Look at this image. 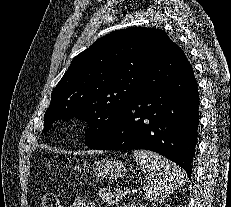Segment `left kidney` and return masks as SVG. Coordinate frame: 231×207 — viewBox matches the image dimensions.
I'll use <instances>...</instances> for the list:
<instances>
[{
  "label": "left kidney",
  "instance_id": "5707ae66",
  "mask_svg": "<svg viewBox=\"0 0 231 207\" xmlns=\"http://www.w3.org/2000/svg\"><path fill=\"white\" fill-rule=\"evenodd\" d=\"M130 207H147V206H137V205H131Z\"/></svg>",
  "mask_w": 231,
  "mask_h": 207
}]
</instances>
